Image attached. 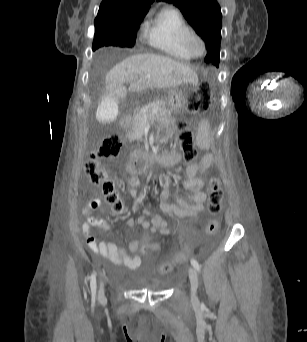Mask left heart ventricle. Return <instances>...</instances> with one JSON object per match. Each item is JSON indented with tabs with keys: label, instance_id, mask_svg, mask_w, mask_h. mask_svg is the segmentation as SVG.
<instances>
[{
	"label": "left heart ventricle",
	"instance_id": "1",
	"mask_svg": "<svg viewBox=\"0 0 307 342\" xmlns=\"http://www.w3.org/2000/svg\"><path fill=\"white\" fill-rule=\"evenodd\" d=\"M191 49L196 54H199L201 52L202 46H201L200 41L197 38H194L191 41Z\"/></svg>",
	"mask_w": 307,
	"mask_h": 342
}]
</instances>
